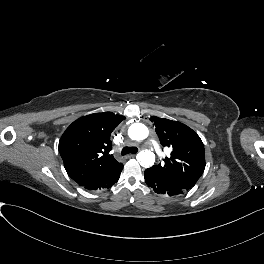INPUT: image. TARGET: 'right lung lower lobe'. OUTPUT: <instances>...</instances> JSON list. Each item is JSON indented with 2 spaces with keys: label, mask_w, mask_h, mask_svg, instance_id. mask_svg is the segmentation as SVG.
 <instances>
[{
  "label": "right lung lower lobe",
  "mask_w": 264,
  "mask_h": 264,
  "mask_svg": "<svg viewBox=\"0 0 264 264\" xmlns=\"http://www.w3.org/2000/svg\"><path fill=\"white\" fill-rule=\"evenodd\" d=\"M123 168V164L115 168L112 172L103 176L102 178L83 186L90 191H99L111 188L120 178V174Z\"/></svg>",
  "instance_id": "obj_1"
}]
</instances>
